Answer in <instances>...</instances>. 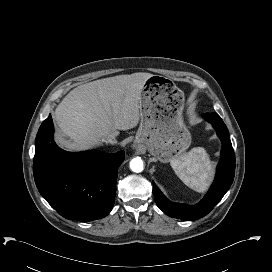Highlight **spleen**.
<instances>
[{"label": "spleen", "instance_id": "1", "mask_svg": "<svg viewBox=\"0 0 272 272\" xmlns=\"http://www.w3.org/2000/svg\"><path fill=\"white\" fill-rule=\"evenodd\" d=\"M171 167L180 180L197 192H204L213 175L212 162L206 150L202 147L191 149L174 157Z\"/></svg>", "mask_w": 272, "mask_h": 272}]
</instances>
